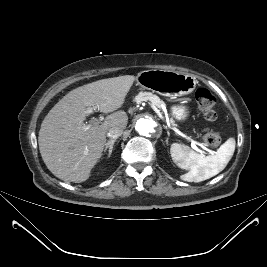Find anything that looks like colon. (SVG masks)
Wrapping results in <instances>:
<instances>
[{"label":"colon","instance_id":"obj_1","mask_svg":"<svg viewBox=\"0 0 267 267\" xmlns=\"http://www.w3.org/2000/svg\"><path fill=\"white\" fill-rule=\"evenodd\" d=\"M195 97L200 110L208 121H215L218 117L216 111V98L206 88H198L195 92ZM205 144L210 147L218 146L221 142V137L218 132L212 129H207L203 135Z\"/></svg>","mask_w":267,"mask_h":267}]
</instances>
